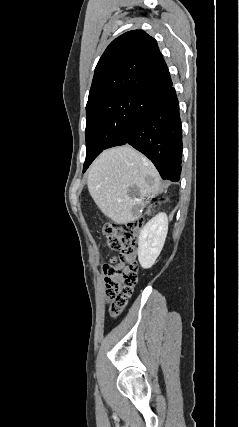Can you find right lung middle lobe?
Masks as SVG:
<instances>
[{
	"label": "right lung middle lobe",
	"mask_w": 239,
	"mask_h": 427,
	"mask_svg": "<svg viewBox=\"0 0 239 427\" xmlns=\"http://www.w3.org/2000/svg\"><path fill=\"white\" fill-rule=\"evenodd\" d=\"M142 102L141 96L104 99L86 106V160L83 172L105 149L124 142L131 120Z\"/></svg>",
	"instance_id": "dd1d6c3e"
}]
</instances>
